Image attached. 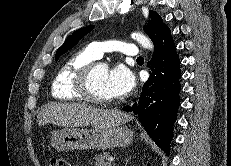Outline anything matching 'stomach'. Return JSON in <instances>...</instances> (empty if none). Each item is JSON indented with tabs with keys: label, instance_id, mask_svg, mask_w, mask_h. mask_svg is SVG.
<instances>
[{
	"label": "stomach",
	"instance_id": "1",
	"mask_svg": "<svg viewBox=\"0 0 231 166\" xmlns=\"http://www.w3.org/2000/svg\"><path fill=\"white\" fill-rule=\"evenodd\" d=\"M134 132L127 126L107 129L65 128L52 133L51 145L59 152L127 147Z\"/></svg>",
	"mask_w": 231,
	"mask_h": 166
}]
</instances>
